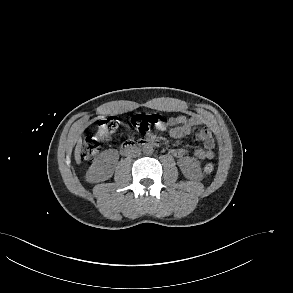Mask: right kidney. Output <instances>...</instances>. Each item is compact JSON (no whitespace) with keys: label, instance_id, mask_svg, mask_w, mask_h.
I'll list each match as a JSON object with an SVG mask.
<instances>
[{"label":"right kidney","instance_id":"1","mask_svg":"<svg viewBox=\"0 0 293 293\" xmlns=\"http://www.w3.org/2000/svg\"><path fill=\"white\" fill-rule=\"evenodd\" d=\"M113 174L111 165L105 160L95 161L89 168L86 179L88 182L97 183L109 179Z\"/></svg>","mask_w":293,"mask_h":293}]
</instances>
